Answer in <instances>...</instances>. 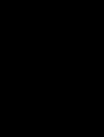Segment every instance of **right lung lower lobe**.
Wrapping results in <instances>:
<instances>
[{"mask_svg":"<svg viewBox=\"0 0 104 137\" xmlns=\"http://www.w3.org/2000/svg\"><path fill=\"white\" fill-rule=\"evenodd\" d=\"M38 67L33 68L29 75L28 72H24L19 78L18 80H16L15 82H7L6 86H16V85H24L26 84L35 74L37 71Z\"/></svg>","mask_w":104,"mask_h":137,"instance_id":"1","label":"right lung lower lobe"}]
</instances>
